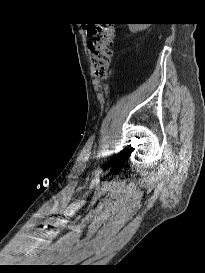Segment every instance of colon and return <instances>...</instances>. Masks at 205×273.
Here are the masks:
<instances>
[{"label":"colon","instance_id":"colon-1","mask_svg":"<svg viewBox=\"0 0 205 273\" xmlns=\"http://www.w3.org/2000/svg\"><path fill=\"white\" fill-rule=\"evenodd\" d=\"M95 38L88 43L94 76L103 80L108 77L114 43V25L105 23L90 27Z\"/></svg>","mask_w":205,"mask_h":273}]
</instances>
